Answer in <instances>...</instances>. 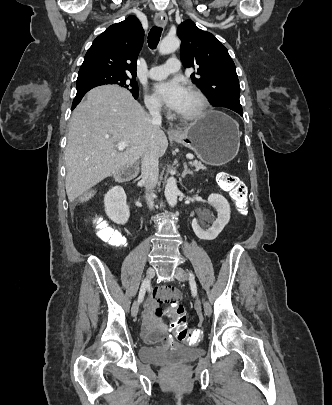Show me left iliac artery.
<instances>
[{
  "label": "left iliac artery",
  "mask_w": 332,
  "mask_h": 405,
  "mask_svg": "<svg viewBox=\"0 0 332 405\" xmlns=\"http://www.w3.org/2000/svg\"><path fill=\"white\" fill-rule=\"evenodd\" d=\"M189 277H190V280H191V281L194 280V274H193L192 272H189Z\"/></svg>",
  "instance_id": "left-iliac-artery-1"
}]
</instances>
